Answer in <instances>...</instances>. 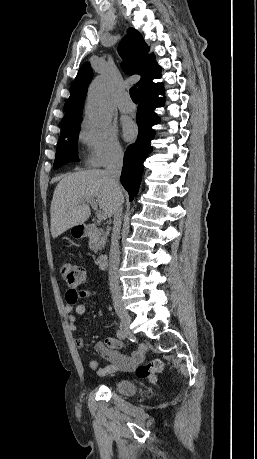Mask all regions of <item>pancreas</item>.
Returning a JSON list of instances; mask_svg holds the SVG:
<instances>
[{
    "label": "pancreas",
    "instance_id": "obj_1",
    "mask_svg": "<svg viewBox=\"0 0 257 459\" xmlns=\"http://www.w3.org/2000/svg\"><path fill=\"white\" fill-rule=\"evenodd\" d=\"M108 234V229L106 231H104L103 229H99L98 231L93 233L90 236L89 248L95 253H97L105 245Z\"/></svg>",
    "mask_w": 257,
    "mask_h": 459
}]
</instances>
